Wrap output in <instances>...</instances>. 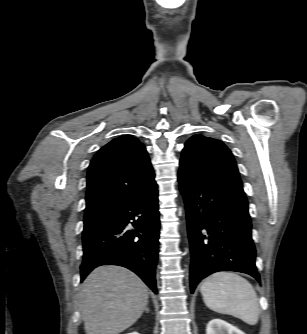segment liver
I'll return each instance as SVG.
<instances>
[{
	"label": "liver",
	"instance_id": "6515ba94",
	"mask_svg": "<svg viewBox=\"0 0 307 334\" xmlns=\"http://www.w3.org/2000/svg\"><path fill=\"white\" fill-rule=\"evenodd\" d=\"M78 299L86 334H119L142 315L148 288L130 270L104 265L88 275Z\"/></svg>",
	"mask_w": 307,
	"mask_h": 334
}]
</instances>
